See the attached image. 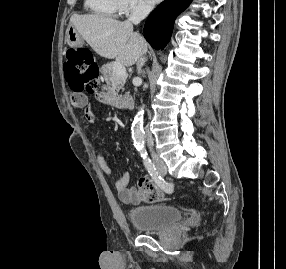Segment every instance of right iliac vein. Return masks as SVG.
<instances>
[{
	"mask_svg": "<svg viewBox=\"0 0 286 269\" xmlns=\"http://www.w3.org/2000/svg\"><path fill=\"white\" fill-rule=\"evenodd\" d=\"M164 170V167H160V171H163Z\"/></svg>",
	"mask_w": 286,
	"mask_h": 269,
	"instance_id": "right-iliac-vein-1",
	"label": "right iliac vein"
}]
</instances>
